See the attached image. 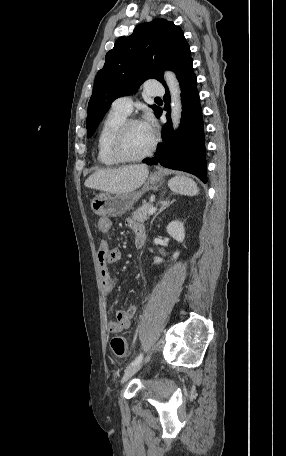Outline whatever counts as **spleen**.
I'll use <instances>...</instances> for the list:
<instances>
[{"instance_id": "1", "label": "spleen", "mask_w": 286, "mask_h": 456, "mask_svg": "<svg viewBox=\"0 0 286 456\" xmlns=\"http://www.w3.org/2000/svg\"><path fill=\"white\" fill-rule=\"evenodd\" d=\"M168 185L176 194L195 196L199 193L197 184L189 177H174L169 181Z\"/></svg>"}]
</instances>
